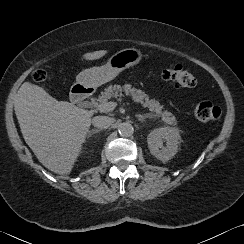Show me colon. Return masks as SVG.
I'll return each mask as SVG.
<instances>
[{"label": "colon", "instance_id": "obj_1", "mask_svg": "<svg viewBox=\"0 0 244 244\" xmlns=\"http://www.w3.org/2000/svg\"><path fill=\"white\" fill-rule=\"evenodd\" d=\"M46 77L47 75L44 70H37L33 75L36 83L44 82ZM161 78L178 87H193L196 83L193 74L178 64L164 68L161 72ZM192 109L196 119L202 122H216L222 116V109L209 101L194 103Z\"/></svg>", "mask_w": 244, "mask_h": 244}]
</instances>
